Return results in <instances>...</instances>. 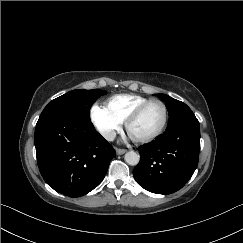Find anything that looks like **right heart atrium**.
<instances>
[{"label":"right heart atrium","instance_id":"1","mask_svg":"<svg viewBox=\"0 0 243 243\" xmlns=\"http://www.w3.org/2000/svg\"><path fill=\"white\" fill-rule=\"evenodd\" d=\"M90 119L97 131L108 140H111L122 126V122L114 114L98 104L91 107Z\"/></svg>","mask_w":243,"mask_h":243}]
</instances>
